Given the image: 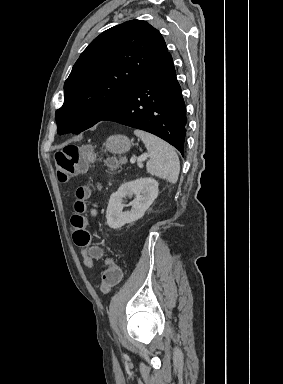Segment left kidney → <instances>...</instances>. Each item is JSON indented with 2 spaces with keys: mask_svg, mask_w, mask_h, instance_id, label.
<instances>
[{
  "mask_svg": "<svg viewBox=\"0 0 283 384\" xmlns=\"http://www.w3.org/2000/svg\"><path fill=\"white\" fill-rule=\"evenodd\" d=\"M158 182L153 178H139L133 182H125L117 192L111 194L107 212L106 220L108 226L113 230L122 228L125 224H132L143 218L146 210L150 208L154 200L158 196ZM136 196L129 206H132L130 212H123L125 204H122V198L126 196Z\"/></svg>",
  "mask_w": 283,
  "mask_h": 384,
  "instance_id": "left-kidney-1",
  "label": "left kidney"
}]
</instances>
